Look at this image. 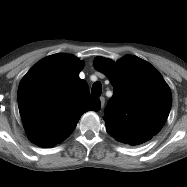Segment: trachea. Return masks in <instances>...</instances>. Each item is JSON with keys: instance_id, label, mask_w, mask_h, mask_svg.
Here are the masks:
<instances>
[{"instance_id": "1", "label": "trachea", "mask_w": 187, "mask_h": 187, "mask_svg": "<svg viewBox=\"0 0 187 187\" xmlns=\"http://www.w3.org/2000/svg\"><path fill=\"white\" fill-rule=\"evenodd\" d=\"M102 92V85L100 82H95L92 86V96H100Z\"/></svg>"}]
</instances>
